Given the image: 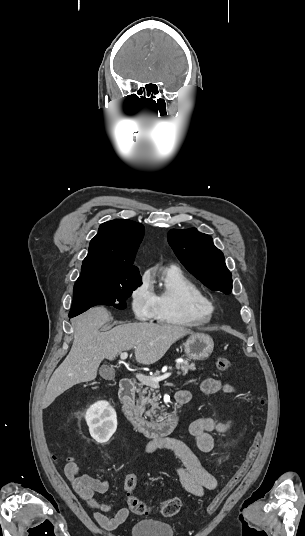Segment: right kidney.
Returning a JSON list of instances; mask_svg holds the SVG:
<instances>
[{
	"label": "right kidney",
	"instance_id": "1",
	"mask_svg": "<svg viewBox=\"0 0 305 536\" xmlns=\"http://www.w3.org/2000/svg\"><path fill=\"white\" fill-rule=\"evenodd\" d=\"M85 418L92 438L99 444L108 442L117 430L116 412L108 402H98L91 406Z\"/></svg>",
	"mask_w": 305,
	"mask_h": 536
}]
</instances>
